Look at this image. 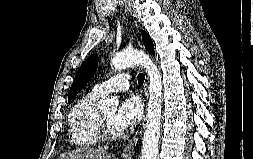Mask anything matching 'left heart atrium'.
Here are the masks:
<instances>
[{
    "mask_svg": "<svg viewBox=\"0 0 253 159\" xmlns=\"http://www.w3.org/2000/svg\"><path fill=\"white\" fill-rule=\"evenodd\" d=\"M143 113L142 102L137 96H128L122 99L113 118V128L117 133L135 126Z\"/></svg>",
    "mask_w": 253,
    "mask_h": 159,
    "instance_id": "obj_1",
    "label": "left heart atrium"
}]
</instances>
